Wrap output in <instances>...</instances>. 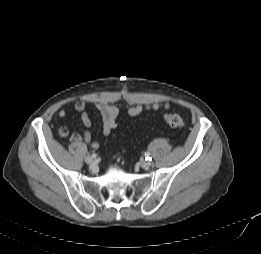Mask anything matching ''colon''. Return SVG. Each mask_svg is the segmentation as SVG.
<instances>
[{
	"label": "colon",
	"mask_w": 261,
	"mask_h": 254,
	"mask_svg": "<svg viewBox=\"0 0 261 254\" xmlns=\"http://www.w3.org/2000/svg\"><path fill=\"white\" fill-rule=\"evenodd\" d=\"M164 121L172 128H183L185 123L182 117L177 113H168L164 115Z\"/></svg>",
	"instance_id": "obj_1"
}]
</instances>
